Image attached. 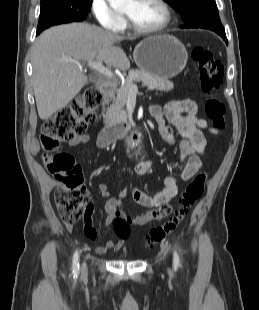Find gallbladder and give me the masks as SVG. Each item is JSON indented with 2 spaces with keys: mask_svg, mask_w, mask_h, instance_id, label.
I'll return each mask as SVG.
<instances>
[{
  "mask_svg": "<svg viewBox=\"0 0 259 310\" xmlns=\"http://www.w3.org/2000/svg\"><path fill=\"white\" fill-rule=\"evenodd\" d=\"M90 80H91V81H94V80H95V78H94L93 76H91V77H90Z\"/></svg>",
  "mask_w": 259,
  "mask_h": 310,
  "instance_id": "gallbladder-1",
  "label": "gallbladder"
}]
</instances>
